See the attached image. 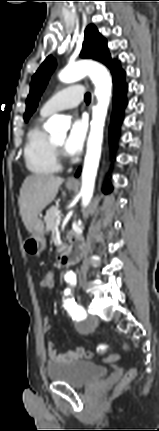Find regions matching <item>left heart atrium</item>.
Returning a JSON list of instances; mask_svg holds the SVG:
<instances>
[{"mask_svg":"<svg viewBox=\"0 0 159 431\" xmlns=\"http://www.w3.org/2000/svg\"><path fill=\"white\" fill-rule=\"evenodd\" d=\"M86 121L76 118L72 121L69 133L64 142V148L69 155H77L81 152L86 137Z\"/></svg>","mask_w":159,"mask_h":431,"instance_id":"obj_1","label":"left heart atrium"}]
</instances>
